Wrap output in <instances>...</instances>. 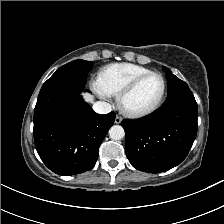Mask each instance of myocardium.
Returning a JSON list of instances; mask_svg holds the SVG:
<instances>
[{
	"mask_svg": "<svg viewBox=\"0 0 224 224\" xmlns=\"http://www.w3.org/2000/svg\"><path fill=\"white\" fill-rule=\"evenodd\" d=\"M151 76H158L161 81H162V90H161V93L159 95V97L157 98V100L155 101V103L146 108V109H141V110H131V109H128L126 108L125 104H124V101L126 99V97L132 93L136 87L142 82L144 81L145 79L151 77ZM166 91H167V82H166V79L165 77L159 73V72H154V71H151V72H148V73H145V74H142L136 78H134L131 82H129L117 95V102H118V105L120 107V109L128 116L130 117H143V116H147L151 113H153L154 111H156L159 106L161 105L164 97H165V94H166Z\"/></svg>",
	"mask_w": 224,
	"mask_h": 224,
	"instance_id": "1",
	"label": "myocardium"
}]
</instances>
